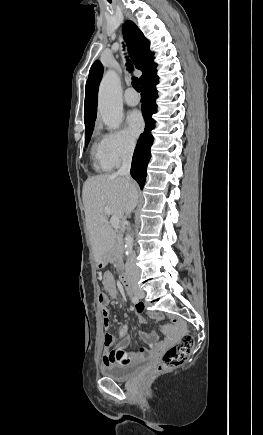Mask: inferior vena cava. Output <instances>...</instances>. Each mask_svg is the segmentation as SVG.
<instances>
[{
    "label": "inferior vena cava",
    "mask_w": 263,
    "mask_h": 435,
    "mask_svg": "<svg viewBox=\"0 0 263 435\" xmlns=\"http://www.w3.org/2000/svg\"><path fill=\"white\" fill-rule=\"evenodd\" d=\"M134 148L135 146L132 145L127 149L122 159V166L117 171L118 176H123L126 180L129 181L131 180L130 168H131V161H132ZM137 201H138L137 190L136 187L132 185L128 188V193H127V202H126L127 214L133 211V209L137 205ZM134 257H135L134 253H131L130 257L126 262L125 270L127 275L139 274V270L135 264Z\"/></svg>",
    "instance_id": "obj_1"
}]
</instances>
